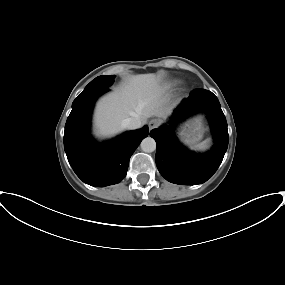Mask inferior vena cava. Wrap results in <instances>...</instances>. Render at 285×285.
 <instances>
[{
  "label": "inferior vena cava",
  "mask_w": 285,
  "mask_h": 285,
  "mask_svg": "<svg viewBox=\"0 0 285 285\" xmlns=\"http://www.w3.org/2000/svg\"><path fill=\"white\" fill-rule=\"evenodd\" d=\"M141 124L142 122L138 117H129L122 121V126L130 130L140 128Z\"/></svg>",
  "instance_id": "obj_1"
}]
</instances>
